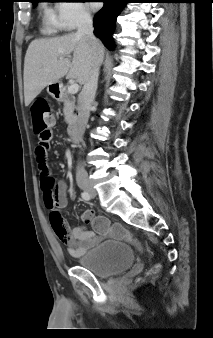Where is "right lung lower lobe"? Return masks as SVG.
Returning <instances> with one entry per match:
<instances>
[{
    "label": "right lung lower lobe",
    "mask_w": 213,
    "mask_h": 338,
    "mask_svg": "<svg viewBox=\"0 0 213 338\" xmlns=\"http://www.w3.org/2000/svg\"><path fill=\"white\" fill-rule=\"evenodd\" d=\"M103 2V8L94 17V33L102 40L108 49H113L114 42L112 34L115 30L116 18L129 1L103 0Z\"/></svg>",
    "instance_id": "1"
}]
</instances>
